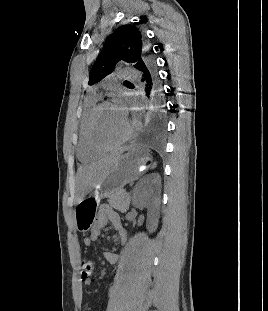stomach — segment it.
Segmentation results:
<instances>
[{
	"label": "stomach",
	"mask_w": 268,
	"mask_h": 311,
	"mask_svg": "<svg viewBox=\"0 0 268 311\" xmlns=\"http://www.w3.org/2000/svg\"><path fill=\"white\" fill-rule=\"evenodd\" d=\"M125 151L111 166L105 178L75 207V227L79 232L85 233L91 229L101 199L122 190L126 184L141 176L140 169L148 160L147 152L136 146L128 147Z\"/></svg>",
	"instance_id": "stomach-1"
}]
</instances>
